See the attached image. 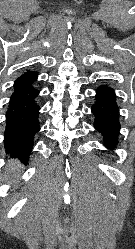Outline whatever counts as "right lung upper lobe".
I'll return each mask as SVG.
<instances>
[{"instance_id":"obj_1","label":"right lung upper lobe","mask_w":135,"mask_h":249,"mask_svg":"<svg viewBox=\"0 0 135 249\" xmlns=\"http://www.w3.org/2000/svg\"><path fill=\"white\" fill-rule=\"evenodd\" d=\"M30 73H35V72H34V71H27V72L24 73L23 75L30 74Z\"/></svg>"}]
</instances>
